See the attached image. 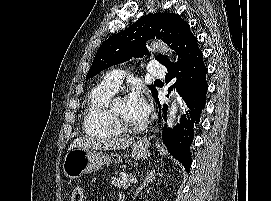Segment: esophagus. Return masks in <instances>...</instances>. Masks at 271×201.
I'll return each instance as SVG.
<instances>
[{"label": "esophagus", "instance_id": "34e87169", "mask_svg": "<svg viewBox=\"0 0 271 201\" xmlns=\"http://www.w3.org/2000/svg\"><path fill=\"white\" fill-rule=\"evenodd\" d=\"M159 126H157L154 130H153V133L151 135V138L154 137L158 132H159ZM147 144L148 143V140H144L143 142H141L140 144Z\"/></svg>", "mask_w": 271, "mask_h": 201}]
</instances>
